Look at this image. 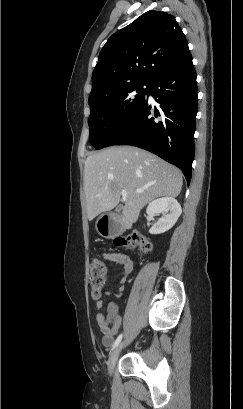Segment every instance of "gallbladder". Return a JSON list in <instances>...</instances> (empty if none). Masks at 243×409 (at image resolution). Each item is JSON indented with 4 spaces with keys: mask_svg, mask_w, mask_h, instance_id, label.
I'll return each mask as SVG.
<instances>
[{
    "mask_svg": "<svg viewBox=\"0 0 243 409\" xmlns=\"http://www.w3.org/2000/svg\"><path fill=\"white\" fill-rule=\"evenodd\" d=\"M121 208H122V206L120 205V206H118L117 208H116V211H120L121 210Z\"/></svg>",
    "mask_w": 243,
    "mask_h": 409,
    "instance_id": "1",
    "label": "gallbladder"
}]
</instances>
